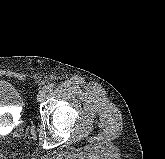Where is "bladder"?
<instances>
[{"label":"bladder","mask_w":165,"mask_h":159,"mask_svg":"<svg viewBox=\"0 0 165 159\" xmlns=\"http://www.w3.org/2000/svg\"><path fill=\"white\" fill-rule=\"evenodd\" d=\"M23 102L21 93L10 82L0 80V107H16Z\"/></svg>","instance_id":"bladder-1"}]
</instances>
